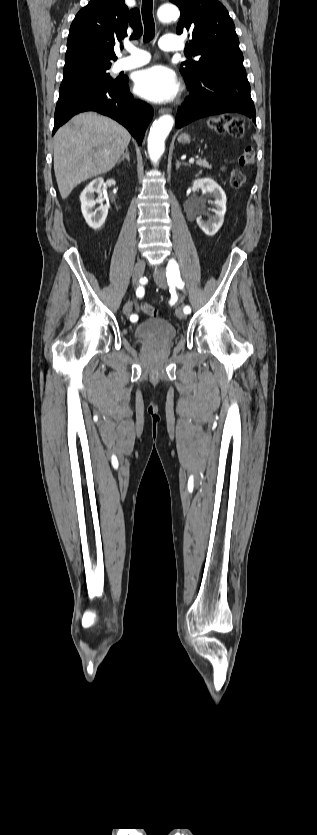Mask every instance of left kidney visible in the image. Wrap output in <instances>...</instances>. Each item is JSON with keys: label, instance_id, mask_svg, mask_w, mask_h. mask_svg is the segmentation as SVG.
<instances>
[{"label": "left kidney", "instance_id": "5707ae66", "mask_svg": "<svg viewBox=\"0 0 317 835\" xmlns=\"http://www.w3.org/2000/svg\"><path fill=\"white\" fill-rule=\"evenodd\" d=\"M193 188H200L209 194L213 200L208 201L215 205L211 209L214 212L209 221H204L201 216L197 217L196 221L202 231L208 235L213 236L223 224L224 215L226 213V194L223 189L211 178L197 179L193 182Z\"/></svg>", "mask_w": 317, "mask_h": 835}]
</instances>
